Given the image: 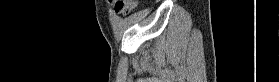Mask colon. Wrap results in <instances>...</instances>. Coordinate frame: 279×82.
<instances>
[{"label": "colon", "instance_id": "colon-1", "mask_svg": "<svg viewBox=\"0 0 279 82\" xmlns=\"http://www.w3.org/2000/svg\"><path fill=\"white\" fill-rule=\"evenodd\" d=\"M110 2L114 5L116 4H123L127 7L135 6L139 1L138 0H124V1H117V0H110Z\"/></svg>", "mask_w": 279, "mask_h": 82}]
</instances>
